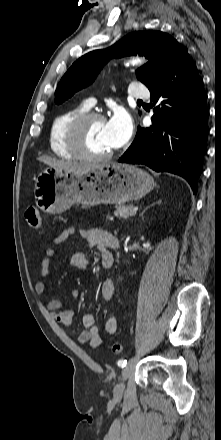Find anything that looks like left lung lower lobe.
<instances>
[{"label":"left lung lower lobe","instance_id":"obj_1","mask_svg":"<svg viewBox=\"0 0 221 440\" xmlns=\"http://www.w3.org/2000/svg\"><path fill=\"white\" fill-rule=\"evenodd\" d=\"M148 89L153 105L161 100L154 109L153 125L138 127L133 143L118 161L180 175L196 193L207 148L209 111L203 81L189 54L179 50Z\"/></svg>","mask_w":221,"mask_h":440}]
</instances>
